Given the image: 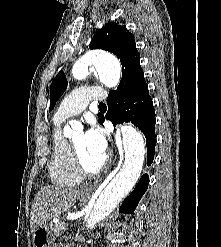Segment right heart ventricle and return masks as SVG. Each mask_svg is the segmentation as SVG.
Returning a JSON list of instances; mask_svg holds the SVG:
<instances>
[{
    "mask_svg": "<svg viewBox=\"0 0 221 247\" xmlns=\"http://www.w3.org/2000/svg\"><path fill=\"white\" fill-rule=\"evenodd\" d=\"M52 134V154L48 167L50 180L59 186H76L82 176L76 169L69 142L62 136L61 122L54 121Z\"/></svg>",
    "mask_w": 221,
    "mask_h": 247,
    "instance_id": "1",
    "label": "right heart ventricle"
}]
</instances>
